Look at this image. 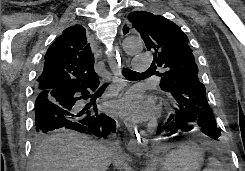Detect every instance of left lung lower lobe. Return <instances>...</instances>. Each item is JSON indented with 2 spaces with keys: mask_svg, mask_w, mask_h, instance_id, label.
Instances as JSON below:
<instances>
[{
  "mask_svg": "<svg viewBox=\"0 0 245 171\" xmlns=\"http://www.w3.org/2000/svg\"><path fill=\"white\" fill-rule=\"evenodd\" d=\"M178 103L175 113L171 114L162 130L164 136H175L190 130L192 125L201 128V132L214 140L221 136L219 128L210 108L205 86L199 80L181 79L168 91Z\"/></svg>",
  "mask_w": 245,
  "mask_h": 171,
  "instance_id": "0a47b994",
  "label": "left lung lower lobe"
}]
</instances>
